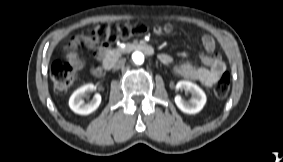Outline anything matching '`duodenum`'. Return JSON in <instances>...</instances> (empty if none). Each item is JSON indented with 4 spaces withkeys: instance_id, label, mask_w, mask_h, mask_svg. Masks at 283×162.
Segmentation results:
<instances>
[{
    "instance_id": "410a0bca",
    "label": "duodenum",
    "mask_w": 283,
    "mask_h": 162,
    "mask_svg": "<svg viewBox=\"0 0 283 162\" xmlns=\"http://www.w3.org/2000/svg\"><path fill=\"white\" fill-rule=\"evenodd\" d=\"M134 50H139L144 52L147 55H153L154 49L151 45H149L146 42H140V41H134L126 43L125 45L121 47H117L109 53L108 59L103 62V65L105 68L109 71H111L114 67V61L119 58L122 54L131 52Z\"/></svg>"
}]
</instances>
